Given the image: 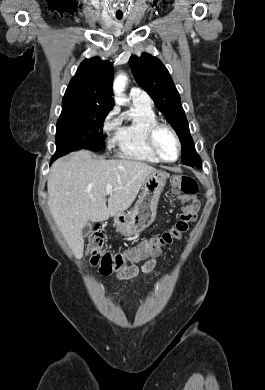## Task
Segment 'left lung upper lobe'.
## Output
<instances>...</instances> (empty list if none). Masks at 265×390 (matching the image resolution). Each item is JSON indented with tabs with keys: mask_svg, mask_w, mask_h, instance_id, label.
Masks as SVG:
<instances>
[{
	"mask_svg": "<svg viewBox=\"0 0 265 390\" xmlns=\"http://www.w3.org/2000/svg\"><path fill=\"white\" fill-rule=\"evenodd\" d=\"M136 82L150 95L156 107L164 114L177 133L182 146V163L201 167V158L196 153L180 95L163 63L148 53L129 59Z\"/></svg>",
	"mask_w": 265,
	"mask_h": 390,
	"instance_id": "5c2ea615",
	"label": "left lung upper lobe"
}]
</instances>
